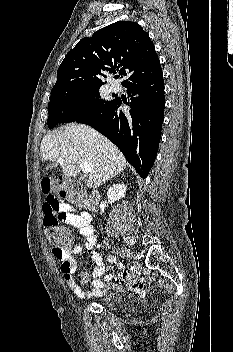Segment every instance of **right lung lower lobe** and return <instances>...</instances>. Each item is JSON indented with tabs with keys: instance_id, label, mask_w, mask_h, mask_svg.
<instances>
[{
	"instance_id": "right-lung-lower-lobe-1",
	"label": "right lung lower lobe",
	"mask_w": 233,
	"mask_h": 352,
	"mask_svg": "<svg viewBox=\"0 0 233 352\" xmlns=\"http://www.w3.org/2000/svg\"><path fill=\"white\" fill-rule=\"evenodd\" d=\"M127 88V113L115 98L106 107L78 123L89 125L106 136L124 154L142 178L151 170L158 151L164 118V81L162 70L124 85Z\"/></svg>"
}]
</instances>
